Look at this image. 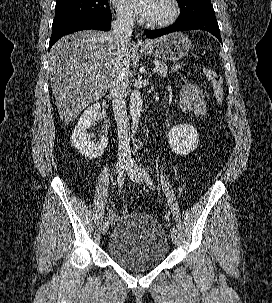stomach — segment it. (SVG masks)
I'll return each mask as SVG.
<instances>
[{"mask_svg":"<svg viewBox=\"0 0 272 303\" xmlns=\"http://www.w3.org/2000/svg\"><path fill=\"white\" fill-rule=\"evenodd\" d=\"M191 48L190 39L184 34L176 32L161 37L158 41H151L140 51L157 59L175 61L185 57Z\"/></svg>","mask_w":272,"mask_h":303,"instance_id":"obj_1","label":"stomach"}]
</instances>
